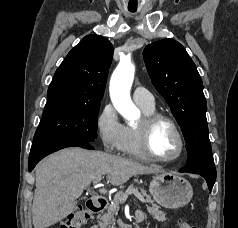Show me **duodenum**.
<instances>
[{"label": "duodenum", "mask_w": 238, "mask_h": 228, "mask_svg": "<svg viewBox=\"0 0 238 228\" xmlns=\"http://www.w3.org/2000/svg\"><path fill=\"white\" fill-rule=\"evenodd\" d=\"M107 205V199L101 196L93 197L87 201V208L90 212L98 214L102 212ZM134 218L136 221L140 222L144 218V213L137 210L134 213Z\"/></svg>", "instance_id": "1"}]
</instances>
